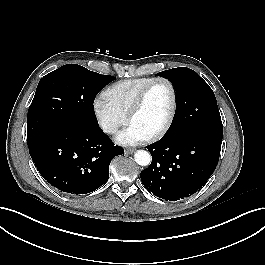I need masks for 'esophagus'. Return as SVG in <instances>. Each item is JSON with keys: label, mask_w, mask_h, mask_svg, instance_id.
<instances>
[{"label": "esophagus", "mask_w": 265, "mask_h": 265, "mask_svg": "<svg viewBox=\"0 0 265 265\" xmlns=\"http://www.w3.org/2000/svg\"><path fill=\"white\" fill-rule=\"evenodd\" d=\"M134 151H135V149H133V148L125 149L126 154H132V153H134Z\"/></svg>", "instance_id": "34e87169"}]
</instances>
